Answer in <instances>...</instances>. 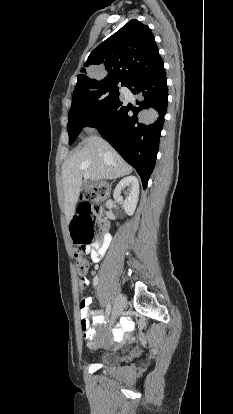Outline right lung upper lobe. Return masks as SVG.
<instances>
[{
  "label": "right lung upper lobe",
  "instance_id": "cb5924a9",
  "mask_svg": "<svg viewBox=\"0 0 233 414\" xmlns=\"http://www.w3.org/2000/svg\"><path fill=\"white\" fill-rule=\"evenodd\" d=\"M94 65H99L102 79L87 76ZM164 68L154 36L147 25L136 19L129 21L115 34L95 48L78 75L74 94L102 82L128 83L139 77L153 75Z\"/></svg>",
  "mask_w": 233,
  "mask_h": 414
}]
</instances>
